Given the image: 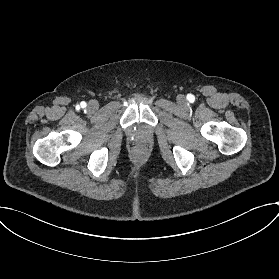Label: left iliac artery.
<instances>
[{
  "label": "left iliac artery",
  "instance_id": "44dca946",
  "mask_svg": "<svg viewBox=\"0 0 279 279\" xmlns=\"http://www.w3.org/2000/svg\"><path fill=\"white\" fill-rule=\"evenodd\" d=\"M188 100H189V102H194V100H195V97L193 96V95H191V97L190 98H188Z\"/></svg>",
  "mask_w": 279,
  "mask_h": 279
}]
</instances>
